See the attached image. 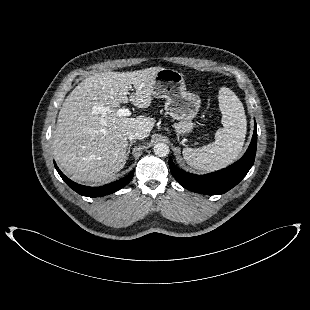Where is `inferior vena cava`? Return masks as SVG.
<instances>
[{
	"label": "inferior vena cava",
	"mask_w": 310,
	"mask_h": 310,
	"mask_svg": "<svg viewBox=\"0 0 310 310\" xmlns=\"http://www.w3.org/2000/svg\"><path fill=\"white\" fill-rule=\"evenodd\" d=\"M128 138L129 140H134V139H138V140H142L144 138L142 132L138 131V130H132L128 133Z\"/></svg>",
	"instance_id": "602c4592"
}]
</instances>
